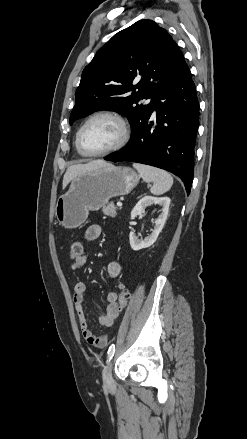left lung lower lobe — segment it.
Listing matches in <instances>:
<instances>
[{
    "instance_id": "obj_1",
    "label": "left lung lower lobe",
    "mask_w": 247,
    "mask_h": 439,
    "mask_svg": "<svg viewBox=\"0 0 247 439\" xmlns=\"http://www.w3.org/2000/svg\"><path fill=\"white\" fill-rule=\"evenodd\" d=\"M154 109L156 121L146 119L124 148L104 159L137 162L170 171L182 179L189 194L199 104L188 65L158 92Z\"/></svg>"
}]
</instances>
